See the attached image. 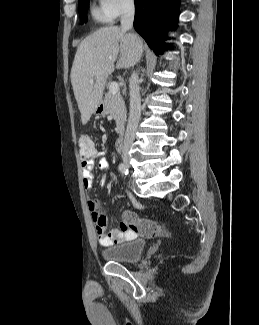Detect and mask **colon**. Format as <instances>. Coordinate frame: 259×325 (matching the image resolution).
<instances>
[{
	"instance_id": "1",
	"label": "colon",
	"mask_w": 259,
	"mask_h": 325,
	"mask_svg": "<svg viewBox=\"0 0 259 325\" xmlns=\"http://www.w3.org/2000/svg\"><path fill=\"white\" fill-rule=\"evenodd\" d=\"M78 151L82 160L92 157L96 149L90 136L82 135L79 137ZM123 223L133 232L145 238H156L167 235V230L161 223L152 219L140 218L131 211L124 212Z\"/></svg>"
}]
</instances>
